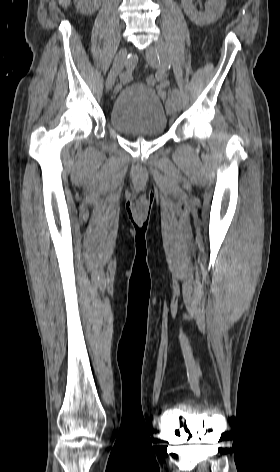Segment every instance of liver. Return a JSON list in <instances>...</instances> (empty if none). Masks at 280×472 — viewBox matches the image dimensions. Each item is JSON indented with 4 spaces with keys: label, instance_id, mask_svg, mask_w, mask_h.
<instances>
[{
    "label": "liver",
    "instance_id": "liver-1",
    "mask_svg": "<svg viewBox=\"0 0 280 472\" xmlns=\"http://www.w3.org/2000/svg\"><path fill=\"white\" fill-rule=\"evenodd\" d=\"M58 1L65 8H67L70 5V0H58Z\"/></svg>",
    "mask_w": 280,
    "mask_h": 472
}]
</instances>
